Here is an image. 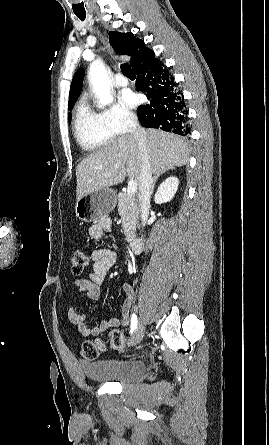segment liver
Returning a JSON list of instances; mask_svg holds the SVG:
<instances>
[{"mask_svg": "<svg viewBox=\"0 0 269 445\" xmlns=\"http://www.w3.org/2000/svg\"><path fill=\"white\" fill-rule=\"evenodd\" d=\"M145 137L153 174L187 164L189 148L184 138L156 129L145 130ZM141 165L137 139L132 134L117 138L78 164L76 199L120 184L126 176L140 182Z\"/></svg>", "mask_w": 269, "mask_h": 445, "instance_id": "6515ba94", "label": "liver"}]
</instances>
